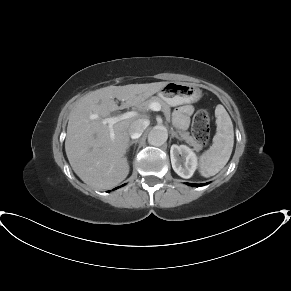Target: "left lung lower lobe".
I'll use <instances>...</instances> for the list:
<instances>
[{"instance_id": "1", "label": "left lung lower lobe", "mask_w": 291, "mask_h": 291, "mask_svg": "<svg viewBox=\"0 0 291 291\" xmlns=\"http://www.w3.org/2000/svg\"><path fill=\"white\" fill-rule=\"evenodd\" d=\"M189 185L199 187V186H202L203 184H191V183H189Z\"/></svg>"}]
</instances>
